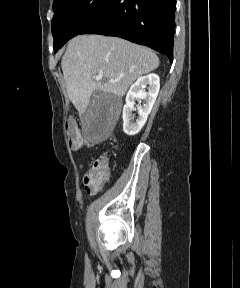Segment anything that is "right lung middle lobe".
<instances>
[{"label":"right lung middle lobe","mask_w":240,"mask_h":288,"mask_svg":"<svg viewBox=\"0 0 240 288\" xmlns=\"http://www.w3.org/2000/svg\"><path fill=\"white\" fill-rule=\"evenodd\" d=\"M112 0H54L52 34L54 50L61 48L68 40L94 20Z\"/></svg>","instance_id":"1"}]
</instances>
